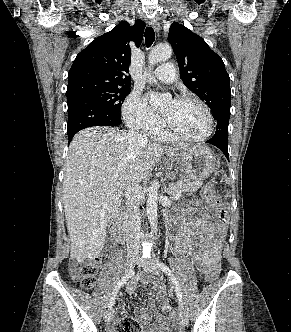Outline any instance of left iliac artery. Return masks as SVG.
Returning <instances> with one entry per match:
<instances>
[{"mask_svg": "<svg viewBox=\"0 0 291 332\" xmlns=\"http://www.w3.org/2000/svg\"><path fill=\"white\" fill-rule=\"evenodd\" d=\"M158 266L159 268L169 276L171 282L174 284L175 286V291L179 300V304L181 308H184L183 306V301H182V292H181V287L180 284L177 280V278L175 277V275L172 273V271L169 269V267L167 265H165L163 262H158Z\"/></svg>", "mask_w": 291, "mask_h": 332, "instance_id": "44dca946", "label": "left iliac artery"}]
</instances>
